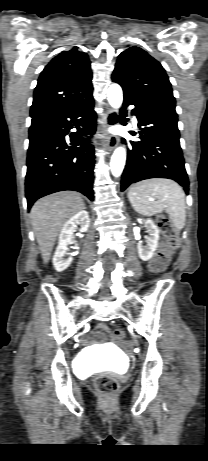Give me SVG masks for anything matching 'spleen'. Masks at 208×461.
I'll list each match as a JSON object with an SVG mask.
<instances>
[{
    "label": "spleen",
    "instance_id": "1",
    "mask_svg": "<svg viewBox=\"0 0 208 461\" xmlns=\"http://www.w3.org/2000/svg\"><path fill=\"white\" fill-rule=\"evenodd\" d=\"M151 197L157 200L152 201ZM128 199L139 214L151 216L165 211L178 230L185 226V193L173 180L156 178L138 182L130 187Z\"/></svg>",
    "mask_w": 208,
    "mask_h": 461
}]
</instances>
